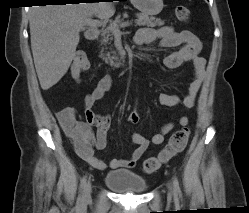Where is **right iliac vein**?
Instances as JSON below:
<instances>
[{
    "label": "right iliac vein",
    "mask_w": 249,
    "mask_h": 213,
    "mask_svg": "<svg viewBox=\"0 0 249 213\" xmlns=\"http://www.w3.org/2000/svg\"><path fill=\"white\" fill-rule=\"evenodd\" d=\"M91 196V182L88 181L84 187L83 198L84 200H89Z\"/></svg>",
    "instance_id": "63e3f726"
}]
</instances>
